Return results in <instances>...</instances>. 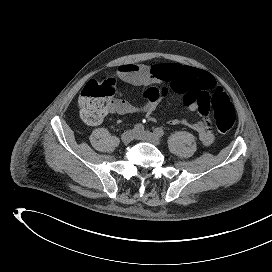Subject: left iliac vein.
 <instances>
[{
  "mask_svg": "<svg viewBox=\"0 0 272 272\" xmlns=\"http://www.w3.org/2000/svg\"><path fill=\"white\" fill-rule=\"evenodd\" d=\"M136 138L139 140L147 141L156 146L160 145L159 138L155 134L148 131L137 132Z\"/></svg>",
  "mask_w": 272,
  "mask_h": 272,
  "instance_id": "left-iliac-vein-1",
  "label": "left iliac vein"
}]
</instances>
